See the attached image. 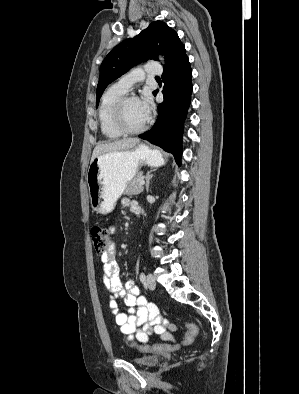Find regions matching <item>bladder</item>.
Returning a JSON list of instances; mask_svg holds the SVG:
<instances>
[{"label":"bladder","instance_id":"obj_1","mask_svg":"<svg viewBox=\"0 0 299 394\" xmlns=\"http://www.w3.org/2000/svg\"><path fill=\"white\" fill-rule=\"evenodd\" d=\"M160 360L156 355H139L131 359V362L143 368H150L158 364Z\"/></svg>","mask_w":299,"mask_h":394}]
</instances>
